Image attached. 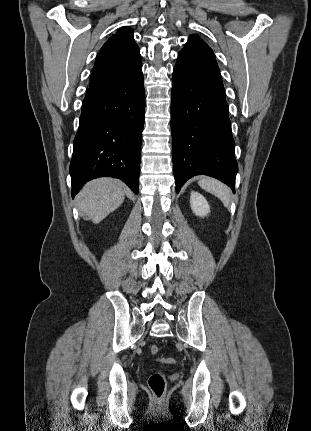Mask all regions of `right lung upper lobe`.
I'll return each instance as SVG.
<instances>
[{"mask_svg":"<svg viewBox=\"0 0 311 431\" xmlns=\"http://www.w3.org/2000/svg\"><path fill=\"white\" fill-rule=\"evenodd\" d=\"M142 64L140 51L129 27L117 31L97 55L90 86L121 79Z\"/></svg>","mask_w":311,"mask_h":431,"instance_id":"1","label":"right lung upper lobe"}]
</instances>
